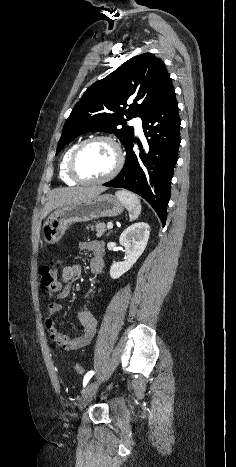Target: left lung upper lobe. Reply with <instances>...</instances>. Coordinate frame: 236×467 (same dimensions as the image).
I'll list each match as a JSON object with an SVG mask.
<instances>
[{
    "label": "left lung upper lobe",
    "mask_w": 236,
    "mask_h": 467,
    "mask_svg": "<svg viewBox=\"0 0 236 467\" xmlns=\"http://www.w3.org/2000/svg\"><path fill=\"white\" fill-rule=\"evenodd\" d=\"M171 87L161 59L150 53L129 59L92 84L76 103L65 122L57 154L74 138L91 131L114 133L125 147L134 138L133 127L125 121L143 118Z\"/></svg>",
    "instance_id": "obj_1"
}]
</instances>
